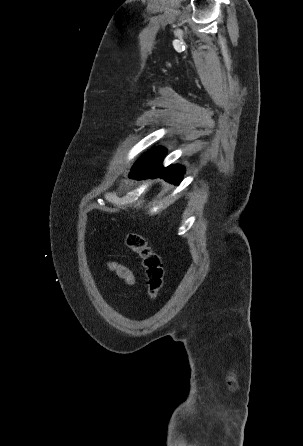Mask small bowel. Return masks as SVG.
Returning <instances> with one entry per match:
<instances>
[{"label": "small bowel", "mask_w": 303, "mask_h": 446, "mask_svg": "<svg viewBox=\"0 0 303 446\" xmlns=\"http://www.w3.org/2000/svg\"><path fill=\"white\" fill-rule=\"evenodd\" d=\"M113 268L116 270L118 275L121 278H123L126 282H128V283L133 282V275L127 267H125L123 265L114 264Z\"/></svg>", "instance_id": "small-bowel-1"}]
</instances>
